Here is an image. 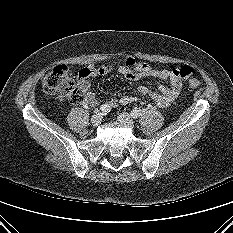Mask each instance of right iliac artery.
Instances as JSON below:
<instances>
[{
    "mask_svg": "<svg viewBox=\"0 0 233 233\" xmlns=\"http://www.w3.org/2000/svg\"><path fill=\"white\" fill-rule=\"evenodd\" d=\"M99 109L100 111H102L103 114H107L111 110V108L107 104L101 105ZM98 111L99 110L97 109L95 112L97 113Z\"/></svg>",
    "mask_w": 233,
    "mask_h": 233,
    "instance_id": "obj_1",
    "label": "right iliac artery"
}]
</instances>
